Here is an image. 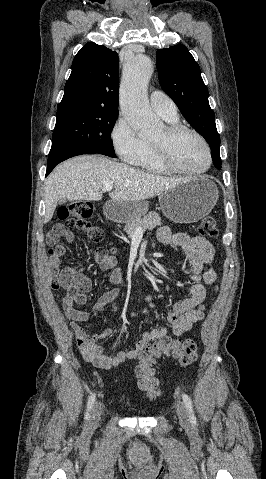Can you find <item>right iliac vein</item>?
Masks as SVG:
<instances>
[{
    "instance_id": "1",
    "label": "right iliac vein",
    "mask_w": 266,
    "mask_h": 479,
    "mask_svg": "<svg viewBox=\"0 0 266 479\" xmlns=\"http://www.w3.org/2000/svg\"><path fill=\"white\" fill-rule=\"evenodd\" d=\"M102 414V406L100 402H96L93 405L91 416L89 420L88 429L89 431H93L99 424L100 418Z\"/></svg>"
}]
</instances>
